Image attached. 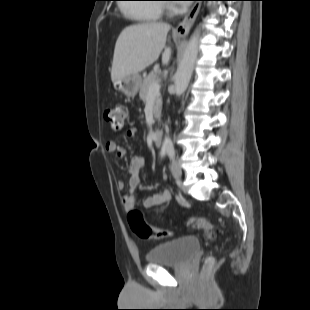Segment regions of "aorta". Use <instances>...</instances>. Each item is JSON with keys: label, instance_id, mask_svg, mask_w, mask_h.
<instances>
[{"label": "aorta", "instance_id": "obj_1", "mask_svg": "<svg viewBox=\"0 0 310 310\" xmlns=\"http://www.w3.org/2000/svg\"><path fill=\"white\" fill-rule=\"evenodd\" d=\"M199 38L200 30L197 29L188 42L183 59L175 74L176 96H181L188 87L190 78L193 73L194 65L198 57ZM172 147V140L168 136H165L162 144V150H168Z\"/></svg>", "mask_w": 310, "mask_h": 310}]
</instances>
